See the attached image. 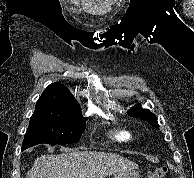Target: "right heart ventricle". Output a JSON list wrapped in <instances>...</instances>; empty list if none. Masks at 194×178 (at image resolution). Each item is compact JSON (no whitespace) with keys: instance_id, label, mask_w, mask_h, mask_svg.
I'll list each match as a JSON object with an SVG mask.
<instances>
[{"instance_id":"e07e8e85","label":"right heart ventricle","mask_w":194,"mask_h":178,"mask_svg":"<svg viewBox=\"0 0 194 178\" xmlns=\"http://www.w3.org/2000/svg\"><path fill=\"white\" fill-rule=\"evenodd\" d=\"M111 137L119 142H129L133 139L132 133L126 129H120L112 132Z\"/></svg>"}]
</instances>
